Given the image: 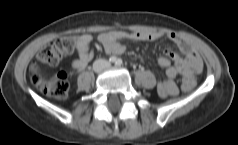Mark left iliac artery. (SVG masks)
Here are the masks:
<instances>
[{
	"label": "left iliac artery",
	"instance_id": "44dca946",
	"mask_svg": "<svg viewBox=\"0 0 238 145\" xmlns=\"http://www.w3.org/2000/svg\"><path fill=\"white\" fill-rule=\"evenodd\" d=\"M122 64H123L122 59L118 58L117 61H116V65L121 66Z\"/></svg>",
	"mask_w": 238,
	"mask_h": 145
}]
</instances>
